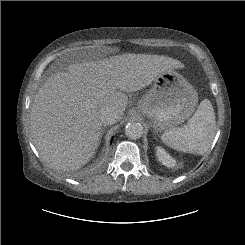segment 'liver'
Listing matches in <instances>:
<instances>
[{
	"label": "liver",
	"mask_w": 245,
	"mask_h": 245,
	"mask_svg": "<svg viewBox=\"0 0 245 245\" xmlns=\"http://www.w3.org/2000/svg\"><path fill=\"white\" fill-rule=\"evenodd\" d=\"M183 68L173 58L122 54L68 66L47 79L33 98L30 128L43 160L58 170H76L93 158L102 137L101 107L123 116L128 97L169 70Z\"/></svg>",
	"instance_id": "liver-1"
}]
</instances>
